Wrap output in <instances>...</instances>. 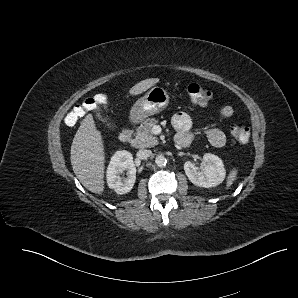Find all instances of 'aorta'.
Masks as SVG:
<instances>
[{"instance_id": "1", "label": "aorta", "mask_w": 298, "mask_h": 298, "mask_svg": "<svg viewBox=\"0 0 298 298\" xmlns=\"http://www.w3.org/2000/svg\"><path fill=\"white\" fill-rule=\"evenodd\" d=\"M166 158L163 155H158L155 158V163L158 167H164L166 165Z\"/></svg>"}]
</instances>
